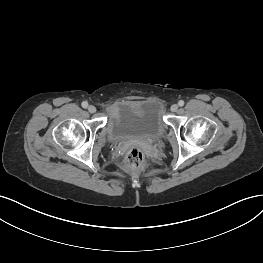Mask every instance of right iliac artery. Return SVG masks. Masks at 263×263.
Segmentation results:
<instances>
[{
  "label": "right iliac artery",
  "instance_id": "right-iliac-artery-1",
  "mask_svg": "<svg viewBox=\"0 0 263 263\" xmlns=\"http://www.w3.org/2000/svg\"><path fill=\"white\" fill-rule=\"evenodd\" d=\"M82 107L83 108H87L88 107V103L86 101L82 102Z\"/></svg>",
  "mask_w": 263,
  "mask_h": 263
}]
</instances>
